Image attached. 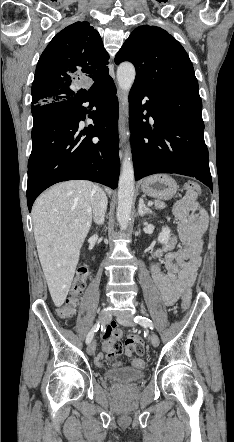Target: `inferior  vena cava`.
<instances>
[{
	"label": "inferior vena cava",
	"instance_id": "obj_1",
	"mask_svg": "<svg viewBox=\"0 0 234 442\" xmlns=\"http://www.w3.org/2000/svg\"><path fill=\"white\" fill-rule=\"evenodd\" d=\"M107 203L105 192L99 186H94L91 194V208L94 222L98 225L104 223Z\"/></svg>",
	"mask_w": 234,
	"mask_h": 442
}]
</instances>
